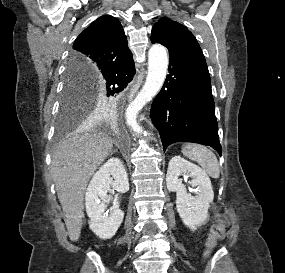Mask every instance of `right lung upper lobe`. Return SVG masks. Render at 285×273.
Returning <instances> with one entry per match:
<instances>
[{
    "mask_svg": "<svg viewBox=\"0 0 285 273\" xmlns=\"http://www.w3.org/2000/svg\"><path fill=\"white\" fill-rule=\"evenodd\" d=\"M131 58L132 53L121 23L111 15H103L77 37L67 69L82 78H89L103 68L124 63Z\"/></svg>",
    "mask_w": 285,
    "mask_h": 273,
    "instance_id": "cb5924a9",
    "label": "right lung upper lobe"
}]
</instances>
